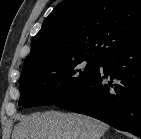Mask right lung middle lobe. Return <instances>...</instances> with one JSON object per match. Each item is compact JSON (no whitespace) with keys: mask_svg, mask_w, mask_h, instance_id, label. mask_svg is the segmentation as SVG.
Instances as JSON below:
<instances>
[{"mask_svg":"<svg viewBox=\"0 0 141 139\" xmlns=\"http://www.w3.org/2000/svg\"><path fill=\"white\" fill-rule=\"evenodd\" d=\"M101 60L82 56L22 70L19 106L54 105L65 100L92 78Z\"/></svg>","mask_w":141,"mask_h":139,"instance_id":"dd1d6c3e","label":"right lung middle lobe"}]
</instances>
